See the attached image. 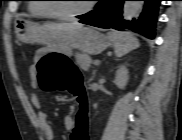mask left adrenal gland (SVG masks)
Here are the masks:
<instances>
[{
	"label": "left adrenal gland",
	"mask_w": 182,
	"mask_h": 140,
	"mask_svg": "<svg viewBox=\"0 0 182 140\" xmlns=\"http://www.w3.org/2000/svg\"><path fill=\"white\" fill-rule=\"evenodd\" d=\"M96 71H97V70H94V71H93V76H92V79H94V77H95V74H96Z\"/></svg>",
	"instance_id": "1"
}]
</instances>
